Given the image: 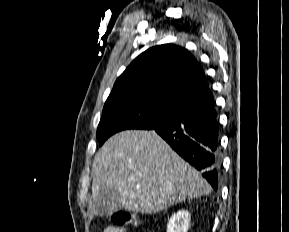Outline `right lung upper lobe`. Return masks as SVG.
<instances>
[{"label": "right lung upper lobe", "instance_id": "1", "mask_svg": "<svg viewBox=\"0 0 289 232\" xmlns=\"http://www.w3.org/2000/svg\"><path fill=\"white\" fill-rule=\"evenodd\" d=\"M143 97L178 109L213 100L202 67L186 49L163 44L139 55L118 77L108 98Z\"/></svg>", "mask_w": 289, "mask_h": 232}]
</instances>
